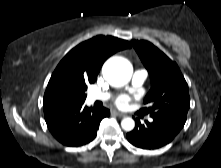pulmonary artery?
Returning <instances> with one entry per match:
<instances>
[{
	"mask_svg": "<svg viewBox=\"0 0 221 168\" xmlns=\"http://www.w3.org/2000/svg\"><path fill=\"white\" fill-rule=\"evenodd\" d=\"M147 77V72L143 69H138L134 72L133 78H132V84L134 87L141 86L145 79ZM89 100L91 102L95 101H105L110 98V94L107 92H91L88 96ZM150 121H152L151 118H149Z\"/></svg>",
	"mask_w": 221,
	"mask_h": 168,
	"instance_id": "obj_1",
	"label": "pulmonary artery"
}]
</instances>
